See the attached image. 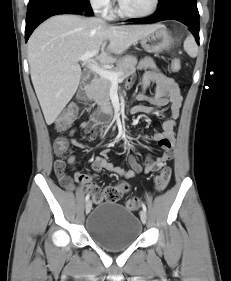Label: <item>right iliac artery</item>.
<instances>
[{"mask_svg":"<svg viewBox=\"0 0 231 281\" xmlns=\"http://www.w3.org/2000/svg\"><path fill=\"white\" fill-rule=\"evenodd\" d=\"M89 198H90V195H89V194H87V195H86L85 200H86V201H88V200H89Z\"/></svg>","mask_w":231,"mask_h":281,"instance_id":"1","label":"right iliac artery"}]
</instances>
